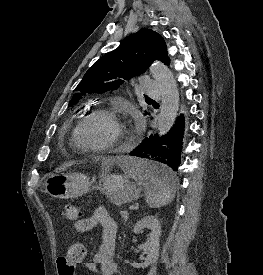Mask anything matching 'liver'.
Listing matches in <instances>:
<instances>
[{"label":"liver","instance_id":"1","mask_svg":"<svg viewBox=\"0 0 263 275\" xmlns=\"http://www.w3.org/2000/svg\"><path fill=\"white\" fill-rule=\"evenodd\" d=\"M127 158H122V157H117V158H108V159H105L104 163L105 165H111L115 162L117 163H122L124 161H126Z\"/></svg>","mask_w":263,"mask_h":275}]
</instances>
